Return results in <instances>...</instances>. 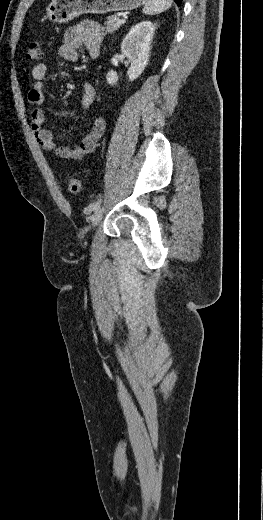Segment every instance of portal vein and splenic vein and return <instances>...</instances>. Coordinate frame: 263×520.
Here are the masks:
<instances>
[{"instance_id":"18ae733b","label":"portal vein and splenic vein","mask_w":263,"mask_h":520,"mask_svg":"<svg viewBox=\"0 0 263 520\" xmlns=\"http://www.w3.org/2000/svg\"><path fill=\"white\" fill-rule=\"evenodd\" d=\"M125 22H126V19H124V18L118 20V23H120V24H124Z\"/></svg>"}]
</instances>
